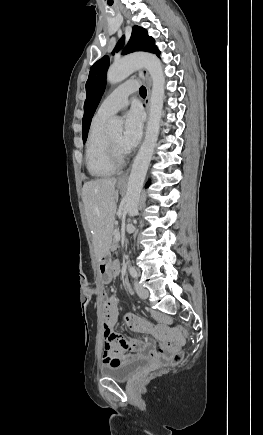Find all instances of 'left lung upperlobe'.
Listing matches in <instances>:
<instances>
[{
	"label": "left lung upper lobe",
	"mask_w": 263,
	"mask_h": 435,
	"mask_svg": "<svg viewBox=\"0 0 263 435\" xmlns=\"http://www.w3.org/2000/svg\"><path fill=\"white\" fill-rule=\"evenodd\" d=\"M125 37L123 36L117 43L114 52H118L124 45ZM135 51H147L160 55V51L155 45V40L147 34V31L139 26H134L132 29L131 38L123 50V54H128ZM109 67V56L105 55L99 59L90 69L89 77L86 82L87 98L84 103V117L82 120V136L83 142L86 141L91 118L99 104L101 96L105 89L106 72Z\"/></svg>",
	"instance_id": "5c2ea615"
}]
</instances>
